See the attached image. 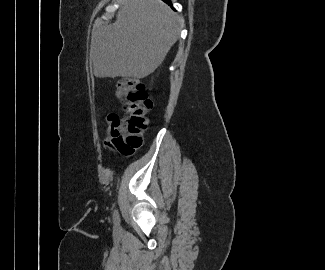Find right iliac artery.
<instances>
[{
	"label": "right iliac artery",
	"instance_id": "obj_1",
	"mask_svg": "<svg viewBox=\"0 0 325 270\" xmlns=\"http://www.w3.org/2000/svg\"><path fill=\"white\" fill-rule=\"evenodd\" d=\"M113 220H114L115 224H119V222H120V217H119V213L117 210H115L113 213Z\"/></svg>",
	"mask_w": 325,
	"mask_h": 270
}]
</instances>
